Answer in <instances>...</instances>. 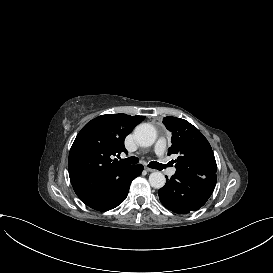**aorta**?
<instances>
[{"label":"aorta","mask_w":273,"mask_h":273,"mask_svg":"<svg viewBox=\"0 0 273 273\" xmlns=\"http://www.w3.org/2000/svg\"><path fill=\"white\" fill-rule=\"evenodd\" d=\"M156 129L148 123L139 124L134 130L135 141L142 147H149L156 141ZM149 183L153 188L160 189L166 183V178L161 172H153L149 176Z\"/></svg>","instance_id":"1"}]
</instances>
